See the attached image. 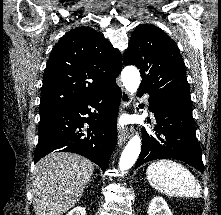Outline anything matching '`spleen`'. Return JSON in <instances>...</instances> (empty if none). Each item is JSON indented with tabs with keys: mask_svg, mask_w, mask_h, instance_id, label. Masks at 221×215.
Wrapping results in <instances>:
<instances>
[{
	"mask_svg": "<svg viewBox=\"0 0 221 215\" xmlns=\"http://www.w3.org/2000/svg\"><path fill=\"white\" fill-rule=\"evenodd\" d=\"M150 185L168 196L201 197V186L192 173L172 160L151 163L146 171Z\"/></svg>",
	"mask_w": 221,
	"mask_h": 215,
	"instance_id": "1",
	"label": "spleen"
}]
</instances>
